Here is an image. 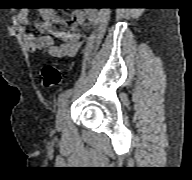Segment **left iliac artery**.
Returning <instances> with one entry per match:
<instances>
[{
	"label": "left iliac artery",
	"instance_id": "1",
	"mask_svg": "<svg viewBox=\"0 0 192 180\" xmlns=\"http://www.w3.org/2000/svg\"><path fill=\"white\" fill-rule=\"evenodd\" d=\"M71 93H72V89H67L63 93H61L58 97V106H61L66 101V99L70 96Z\"/></svg>",
	"mask_w": 192,
	"mask_h": 180
}]
</instances>
